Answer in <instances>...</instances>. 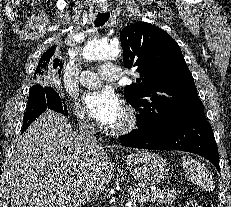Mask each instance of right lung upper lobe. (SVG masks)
<instances>
[{
  "label": "right lung upper lobe",
  "instance_id": "cb5924a9",
  "mask_svg": "<svg viewBox=\"0 0 231 207\" xmlns=\"http://www.w3.org/2000/svg\"><path fill=\"white\" fill-rule=\"evenodd\" d=\"M55 48H56L55 46H52L42 55L41 59L39 60L38 66L35 70V73H34L35 78L39 77L40 75H43L48 65L52 63L51 57L55 53Z\"/></svg>",
  "mask_w": 231,
  "mask_h": 207
}]
</instances>
